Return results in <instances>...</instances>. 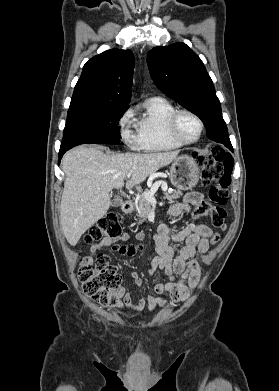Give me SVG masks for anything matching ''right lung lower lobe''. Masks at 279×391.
I'll list each match as a JSON object with an SVG mask.
<instances>
[{
    "label": "right lung lower lobe",
    "mask_w": 279,
    "mask_h": 391,
    "mask_svg": "<svg viewBox=\"0 0 279 391\" xmlns=\"http://www.w3.org/2000/svg\"><path fill=\"white\" fill-rule=\"evenodd\" d=\"M120 142V141H119ZM119 142L117 141H114V140H109V139H106V140H103L101 142H99L98 144H102V143H110V144H118ZM67 151V149H60V152H59V159L62 158L63 154ZM60 161V160H59Z\"/></svg>",
    "instance_id": "obj_1"
}]
</instances>
